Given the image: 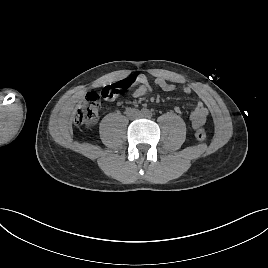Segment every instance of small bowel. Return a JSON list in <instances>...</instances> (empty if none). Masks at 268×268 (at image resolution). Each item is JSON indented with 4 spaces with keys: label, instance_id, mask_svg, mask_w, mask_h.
I'll use <instances>...</instances> for the list:
<instances>
[{
    "label": "small bowel",
    "instance_id": "obj_1",
    "mask_svg": "<svg viewBox=\"0 0 268 268\" xmlns=\"http://www.w3.org/2000/svg\"><path fill=\"white\" fill-rule=\"evenodd\" d=\"M135 80V84H138V87L133 91L132 96L134 98H138L144 96L145 94L152 92L153 87L150 79L145 75H133L130 76ZM154 85L159 89L167 92L180 90L182 93L189 95L192 93V88L189 86H184L182 88H178L176 85L166 81L161 77H157L154 79ZM176 112H179L180 109L178 107L175 108ZM208 109L204 105L202 101H198L195 108L190 114L191 126L193 129H199L202 127L208 117Z\"/></svg>",
    "mask_w": 268,
    "mask_h": 268
}]
</instances>
